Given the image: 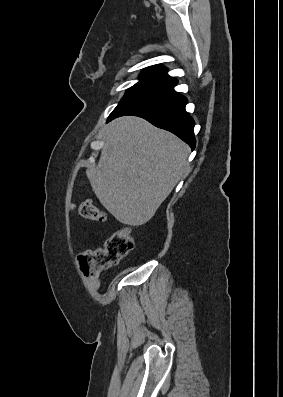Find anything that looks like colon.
Here are the masks:
<instances>
[{"label": "colon", "instance_id": "1", "mask_svg": "<svg viewBox=\"0 0 283 397\" xmlns=\"http://www.w3.org/2000/svg\"><path fill=\"white\" fill-rule=\"evenodd\" d=\"M74 209L84 219L95 222L106 220V214L96 207L91 200H85L78 205H74ZM133 248L134 239L131 230L128 227H124L109 236L102 246L95 249H87L81 253L79 265L89 287L92 290H97L99 288L100 274L117 264Z\"/></svg>", "mask_w": 283, "mask_h": 397}]
</instances>
